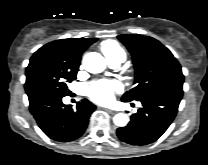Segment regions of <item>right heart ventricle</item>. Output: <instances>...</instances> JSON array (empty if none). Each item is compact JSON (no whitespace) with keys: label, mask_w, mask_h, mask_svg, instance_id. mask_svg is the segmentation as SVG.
<instances>
[{"label":"right heart ventricle","mask_w":208,"mask_h":165,"mask_svg":"<svg viewBox=\"0 0 208 165\" xmlns=\"http://www.w3.org/2000/svg\"><path fill=\"white\" fill-rule=\"evenodd\" d=\"M101 48L107 61L111 59H120L121 62H123L125 60L126 53L124 49L116 41H104L102 43Z\"/></svg>","instance_id":"obj_1"}]
</instances>
